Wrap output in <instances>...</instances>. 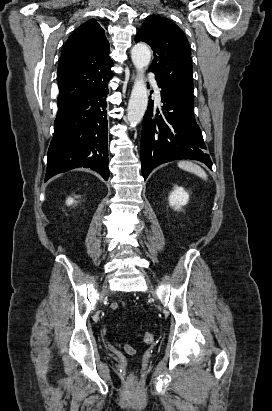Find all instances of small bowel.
Segmentation results:
<instances>
[{
    "instance_id": "small-bowel-1",
    "label": "small bowel",
    "mask_w": 272,
    "mask_h": 411,
    "mask_svg": "<svg viewBox=\"0 0 272 411\" xmlns=\"http://www.w3.org/2000/svg\"><path fill=\"white\" fill-rule=\"evenodd\" d=\"M118 307H119V305H118L117 303H113V304L110 306V308H111L112 310H117ZM103 332H104V334H106V329H103ZM118 347H121V345L112 346V349H113L114 351H116ZM122 347H123V349H124L127 353H129V354H131V353L134 352L133 347L130 346L129 344H124V345H122Z\"/></svg>"
}]
</instances>
